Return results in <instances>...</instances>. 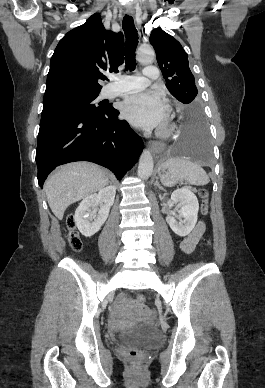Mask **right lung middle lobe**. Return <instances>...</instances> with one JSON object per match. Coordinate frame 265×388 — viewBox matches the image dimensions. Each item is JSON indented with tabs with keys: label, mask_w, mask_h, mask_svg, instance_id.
Returning <instances> with one entry per match:
<instances>
[{
	"label": "right lung middle lobe",
	"mask_w": 265,
	"mask_h": 388,
	"mask_svg": "<svg viewBox=\"0 0 265 388\" xmlns=\"http://www.w3.org/2000/svg\"><path fill=\"white\" fill-rule=\"evenodd\" d=\"M95 94H63L44 98L41 118L62 112H102L106 107H95Z\"/></svg>",
	"instance_id": "dd1d6c3e"
}]
</instances>
